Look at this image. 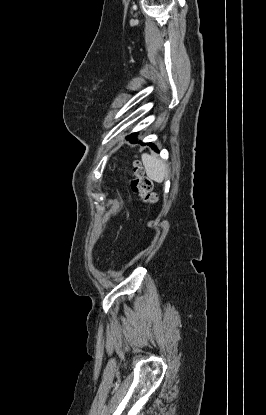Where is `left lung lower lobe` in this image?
I'll use <instances>...</instances> for the list:
<instances>
[{"label":"left lung lower lobe","mask_w":266,"mask_h":415,"mask_svg":"<svg viewBox=\"0 0 266 415\" xmlns=\"http://www.w3.org/2000/svg\"><path fill=\"white\" fill-rule=\"evenodd\" d=\"M128 140L130 141V142H132V143H134V142H136V140H137V136H135V137H128ZM150 145L153 149H155V151H157V148H156V146L155 145H153V144H151V143H145V144H143V145Z\"/></svg>","instance_id":"1"}]
</instances>
